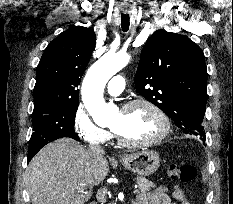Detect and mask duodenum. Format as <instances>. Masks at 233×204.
Segmentation results:
<instances>
[{
  "instance_id": "obj_1",
  "label": "duodenum",
  "mask_w": 233,
  "mask_h": 204,
  "mask_svg": "<svg viewBox=\"0 0 233 204\" xmlns=\"http://www.w3.org/2000/svg\"><path fill=\"white\" fill-rule=\"evenodd\" d=\"M89 204H97L96 202H91V203H89Z\"/></svg>"
}]
</instances>
